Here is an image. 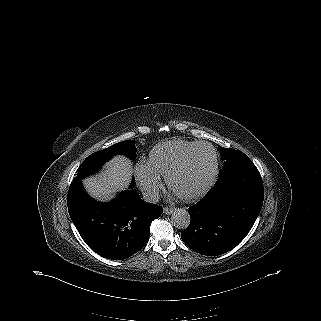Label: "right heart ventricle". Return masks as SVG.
I'll use <instances>...</instances> for the list:
<instances>
[{"label":"right heart ventricle","mask_w":321,"mask_h":321,"mask_svg":"<svg viewBox=\"0 0 321 321\" xmlns=\"http://www.w3.org/2000/svg\"><path fill=\"white\" fill-rule=\"evenodd\" d=\"M197 143L183 140L164 141L156 144L150 151L148 164L150 169L159 177L167 172L182 159Z\"/></svg>","instance_id":"right-heart-ventricle-1"}]
</instances>
